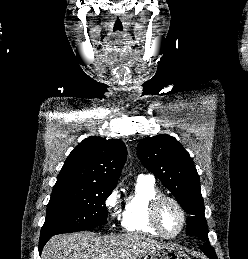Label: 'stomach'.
Wrapping results in <instances>:
<instances>
[{
	"label": "stomach",
	"instance_id": "0dacf381",
	"mask_svg": "<svg viewBox=\"0 0 248 259\" xmlns=\"http://www.w3.org/2000/svg\"><path fill=\"white\" fill-rule=\"evenodd\" d=\"M144 259H191L186 253L171 246L155 248L144 256Z\"/></svg>",
	"mask_w": 248,
	"mask_h": 259
}]
</instances>
